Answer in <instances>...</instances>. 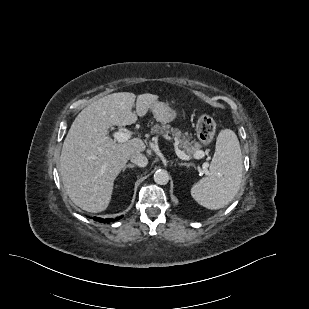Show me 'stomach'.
<instances>
[{
    "label": "stomach",
    "instance_id": "obj_1",
    "mask_svg": "<svg viewBox=\"0 0 309 309\" xmlns=\"http://www.w3.org/2000/svg\"><path fill=\"white\" fill-rule=\"evenodd\" d=\"M151 111L154 115V118L163 124L174 121L178 116L176 110L172 109L169 104L163 102H156L151 107Z\"/></svg>",
    "mask_w": 309,
    "mask_h": 309
}]
</instances>
